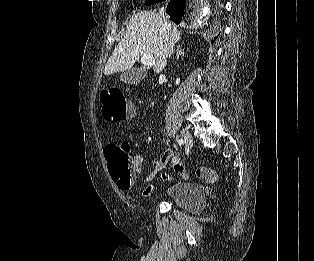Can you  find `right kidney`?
Masks as SVG:
<instances>
[{
    "label": "right kidney",
    "mask_w": 314,
    "mask_h": 261,
    "mask_svg": "<svg viewBox=\"0 0 314 261\" xmlns=\"http://www.w3.org/2000/svg\"><path fill=\"white\" fill-rule=\"evenodd\" d=\"M180 83V79H176V85Z\"/></svg>",
    "instance_id": "1"
}]
</instances>
